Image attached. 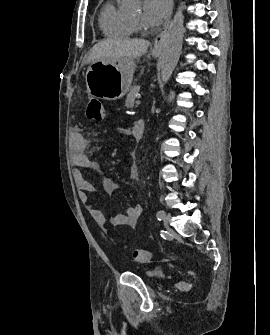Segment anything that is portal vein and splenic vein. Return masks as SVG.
<instances>
[{"label":"portal vein and splenic vein","mask_w":270,"mask_h":335,"mask_svg":"<svg viewBox=\"0 0 270 335\" xmlns=\"http://www.w3.org/2000/svg\"><path fill=\"white\" fill-rule=\"evenodd\" d=\"M135 103L138 105L139 103H141V100L138 99Z\"/></svg>","instance_id":"18ae733b"}]
</instances>
